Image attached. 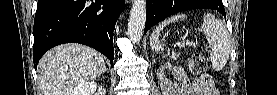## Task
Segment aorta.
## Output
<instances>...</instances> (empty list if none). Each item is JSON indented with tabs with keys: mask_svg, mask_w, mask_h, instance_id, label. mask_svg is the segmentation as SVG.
<instances>
[{
	"mask_svg": "<svg viewBox=\"0 0 277 95\" xmlns=\"http://www.w3.org/2000/svg\"><path fill=\"white\" fill-rule=\"evenodd\" d=\"M146 22V1L134 0L128 20V37L133 43L140 42Z\"/></svg>",
	"mask_w": 277,
	"mask_h": 95,
	"instance_id": "obj_1",
	"label": "aorta"
}]
</instances>
